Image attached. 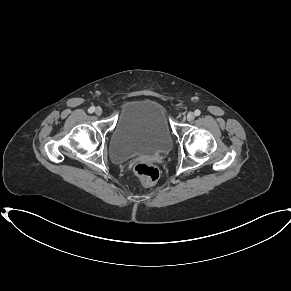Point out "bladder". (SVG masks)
Masks as SVG:
<instances>
[{
	"mask_svg": "<svg viewBox=\"0 0 291 291\" xmlns=\"http://www.w3.org/2000/svg\"><path fill=\"white\" fill-rule=\"evenodd\" d=\"M173 138L164 104L153 97L130 99L122 109L109 139V155L123 162L140 155L165 153Z\"/></svg>",
	"mask_w": 291,
	"mask_h": 291,
	"instance_id": "bladder-1",
	"label": "bladder"
}]
</instances>
